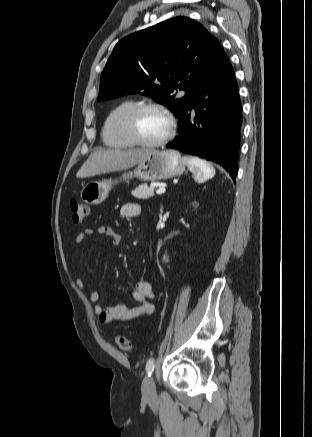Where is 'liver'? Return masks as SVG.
I'll use <instances>...</instances> for the list:
<instances>
[{
	"label": "liver",
	"mask_w": 312,
	"mask_h": 437,
	"mask_svg": "<svg viewBox=\"0 0 312 437\" xmlns=\"http://www.w3.org/2000/svg\"><path fill=\"white\" fill-rule=\"evenodd\" d=\"M152 150L148 149H108L96 150L91 153L76 176L78 178L92 177L109 172H115L135 166L145 159Z\"/></svg>",
	"instance_id": "obj_1"
}]
</instances>
